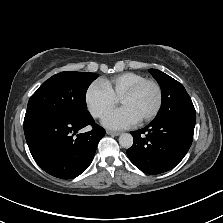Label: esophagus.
I'll use <instances>...</instances> for the list:
<instances>
[{
    "mask_svg": "<svg viewBox=\"0 0 223 223\" xmlns=\"http://www.w3.org/2000/svg\"><path fill=\"white\" fill-rule=\"evenodd\" d=\"M106 133L112 136H119L121 134L120 132L110 131V130H107Z\"/></svg>",
    "mask_w": 223,
    "mask_h": 223,
    "instance_id": "esophagus-1",
    "label": "esophagus"
}]
</instances>
